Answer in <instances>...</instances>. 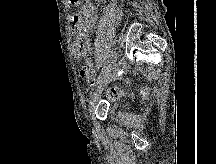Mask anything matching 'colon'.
Masks as SVG:
<instances>
[{
	"label": "colon",
	"instance_id": "obj_1",
	"mask_svg": "<svg viewBox=\"0 0 216 164\" xmlns=\"http://www.w3.org/2000/svg\"><path fill=\"white\" fill-rule=\"evenodd\" d=\"M81 76L86 79L87 83L89 84L90 88L95 85V70L93 67L85 66L81 70ZM124 94L123 90L120 88H111L107 92V96L110 100H116L122 97ZM142 94H147V89L142 90Z\"/></svg>",
	"mask_w": 216,
	"mask_h": 164
}]
</instances>
